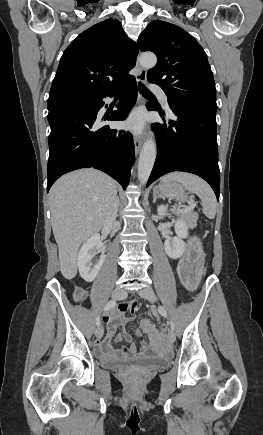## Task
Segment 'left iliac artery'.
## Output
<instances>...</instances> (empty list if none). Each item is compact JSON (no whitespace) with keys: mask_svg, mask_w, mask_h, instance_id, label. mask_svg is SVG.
Returning <instances> with one entry per match:
<instances>
[{"mask_svg":"<svg viewBox=\"0 0 263 435\" xmlns=\"http://www.w3.org/2000/svg\"><path fill=\"white\" fill-rule=\"evenodd\" d=\"M158 311H159V313H160L163 317H166V318H167V312H166V309H165L163 306H159ZM170 327H171L172 330L175 329V325H174V323H173L172 321H170Z\"/></svg>","mask_w":263,"mask_h":435,"instance_id":"1","label":"left iliac artery"}]
</instances>
